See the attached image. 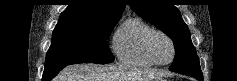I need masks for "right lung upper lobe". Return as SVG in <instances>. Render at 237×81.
Instances as JSON below:
<instances>
[{"label": "right lung upper lobe", "mask_w": 237, "mask_h": 81, "mask_svg": "<svg viewBox=\"0 0 237 81\" xmlns=\"http://www.w3.org/2000/svg\"><path fill=\"white\" fill-rule=\"evenodd\" d=\"M124 8V0H70L60 19L114 21L119 20Z\"/></svg>", "instance_id": "cb5924a9"}]
</instances>
